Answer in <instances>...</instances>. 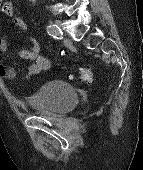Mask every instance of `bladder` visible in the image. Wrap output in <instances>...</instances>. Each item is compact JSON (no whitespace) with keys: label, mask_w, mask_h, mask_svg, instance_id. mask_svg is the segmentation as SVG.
I'll return each mask as SVG.
<instances>
[{"label":"bladder","mask_w":143,"mask_h":170,"mask_svg":"<svg viewBox=\"0 0 143 170\" xmlns=\"http://www.w3.org/2000/svg\"><path fill=\"white\" fill-rule=\"evenodd\" d=\"M76 89L68 83L50 80L43 83L31 99V110L45 116H62L77 104Z\"/></svg>","instance_id":"bladder-1"}]
</instances>
